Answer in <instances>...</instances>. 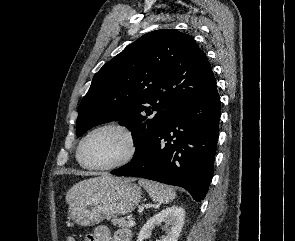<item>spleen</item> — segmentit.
<instances>
[{
  "mask_svg": "<svg viewBox=\"0 0 295 241\" xmlns=\"http://www.w3.org/2000/svg\"><path fill=\"white\" fill-rule=\"evenodd\" d=\"M138 183L148 192L155 202L167 204L173 201L176 196L174 189L167 185L144 179H140Z\"/></svg>",
  "mask_w": 295,
  "mask_h": 241,
  "instance_id": "1",
  "label": "spleen"
}]
</instances>
